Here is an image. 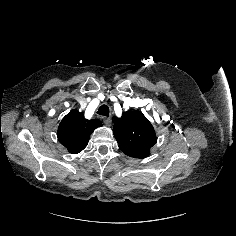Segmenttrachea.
<instances>
[{
    "label": "trachea",
    "mask_w": 236,
    "mask_h": 236,
    "mask_svg": "<svg viewBox=\"0 0 236 236\" xmlns=\"http://www.w3.org/2000/svg\"><path fill=\"white\" fill-rule=\"evenodd\" d=\"M97 114L103 115V116H108L109 115V107L107 105H102L97 111Z\"/></svg>",
    "instance_id": "obj_1"
}]
</instances>
